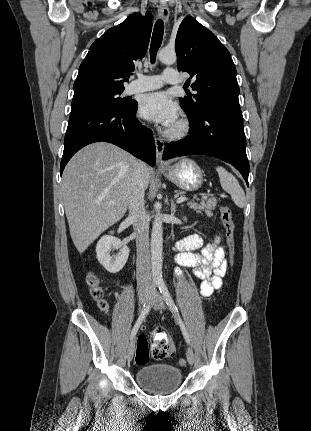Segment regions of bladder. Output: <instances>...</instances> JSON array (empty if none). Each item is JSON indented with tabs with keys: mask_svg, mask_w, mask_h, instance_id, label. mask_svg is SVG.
Listing matches in <instances>:
<instances>
[{
	"mask_svg": "<svg viewBox=\"0 0 311 431\" xmlns=\"http://www.w3.org/2000/svg\"><path fill=\"white\" fill-rule=\"evenodd\" d=\"M180 368L166 363L142 365L136 372V382L145 391L164 395L178 390L182 384Z\"/></svg>",
	"mask_w": 311,
	"mask_h": 431,
	"instance_id": "bladder-1",
	"label": "bladder"
}]
</instances>
